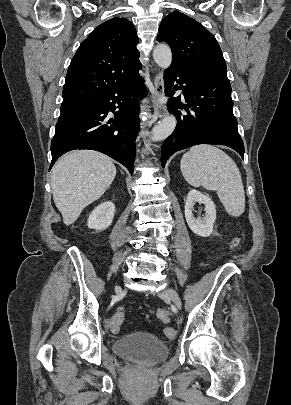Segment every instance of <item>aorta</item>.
<instances>
[{
	"instance_id": "obj_1",
	"label": "aorta",
	"mask_w": 291,
	"mask_h": 405,
	"mask_svg": "<svg viewBox=\"0 0 291 405\" xmlns=\"http://www.w3.org/2000/svg\"><path fill=\"white\" fill-rule=\"evenodd\" d=\"M153 58L156 64L162 69L170 67L172 62V52L168 45L158 44L153 50ZM177 124L176 117L173 115L165 117L152 129V141H162L174 131Z\"/></svg>"
}]
</instances>
